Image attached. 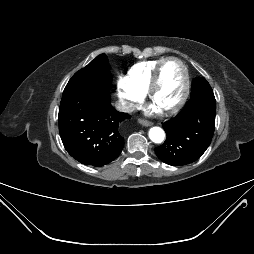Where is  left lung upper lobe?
I'll list each match as a JSON object with an SVG mask.
<instances>
[{
  "label": "left lung upper lobe",
  "instance_id": "1",
  "mask_svg": "<svg viewBox=\"0 0 254 254\" xmlns=\"http://www.w3.org/2000/svg\"><path fill=\"white\" fill-rule=\"evenodd\" d=\"M216 101L213 90L205 78H194L192 81V91L189 101L200 102V101Z\"/></svg>",
  "mask_w": 254,
  "mask_h": 254
}]
</instances>
